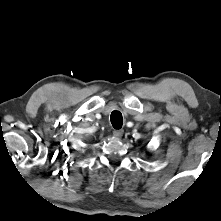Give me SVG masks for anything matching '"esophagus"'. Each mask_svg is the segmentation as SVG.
Instances as JSON below:
<instances>
[{"instance_id": "34e87169", "label": "esophagus", "mask_w": 221, "mask_h": 221, "mask_svg": "<svg viewBox=\"0 0 221 221\" xmlns=\"http://www.w3.org/2000/svg\"><path fill=\"white\" fill-rule=\"evenodd\" d=\"M123 133H124V130H122V129H118V130L113 131V135L116 138H121L123 136Z\"/></svg>"}]
</instances>
